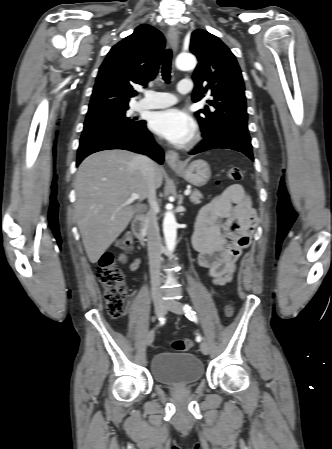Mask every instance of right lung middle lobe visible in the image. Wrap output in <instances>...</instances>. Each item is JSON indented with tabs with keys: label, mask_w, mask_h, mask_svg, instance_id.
<instances>
[{
	"label": "right lung middle lobe",
	"mask_w": 332,
	"mask_h": 449,
	"mask_svg": "<svg viewBox=\"0 0 332 449\" xmlns=\"http://www.w3.org/2000/svg\"><path fill=\"white\" fill-rule=\"evenodd\" d=\"M127 110L128 107L88 112L82 135L102 130L129 132L140 128L145 121H136V117H129Z\"/></svg>",
	"instance_id": "dd1d6c3e"
}]
</instances>
